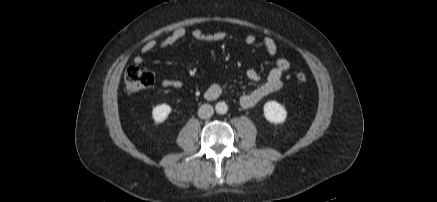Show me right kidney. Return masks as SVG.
Here are the masks:
<instances>
[{
  "label": "right kidney",
  "instance_id": "1",
  "mask_svg": "<svg viewBox=\"0 0 437 202\" xmlns=\"http://www.w3.org/2000/svg\"><path fill=\"white\" fill-rule=\"evenodd\" d=\"M172 109L167 104L157 105L152 110V117L156 123H162L166 120Z\"/></svg>",
  "mask_w": 437,
  "mask_h": 202
}]
</instances>
